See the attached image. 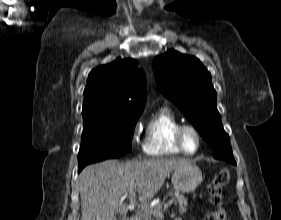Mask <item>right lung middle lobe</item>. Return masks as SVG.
<instances>
[{"instance_id": "1", "label": "right lung middle lobe", "mask_w": 281, "mask_h": 220, "mask_svg": "<svg viewBox=\"0 0 281 220\" xmlns=\"http://www.w3.org/2000/svg\"><path fill=\"white\" fill-rule=\"evenodd\" d=\"M140 115L83 119L80 168L108 158H118L131 151L134 127Z\"/></svg>"}]
</instances>
